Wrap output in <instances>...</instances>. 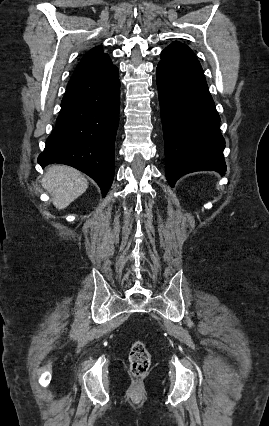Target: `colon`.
Returning a JSON list of instances; mask_svg holds the SVG:
<instances>
[{"label":"colon","instance_id":"colon-1","mask_svg":"<svg viewBox=\"0 0 269 426\" xmlns=\"http://www.w3.org/2000/svg\"><path fill=\"white\" fill-rule=\"evenodd\" d=\"M130 369L135 377L146 374L150 366V354L146 345L141 341H136L130 351Z\"/></svg>","mask_w":269,"mask_h":426}]
</instances>
